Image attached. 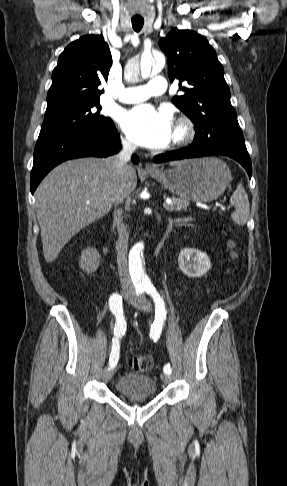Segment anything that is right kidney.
<instances>
[{
  "mask_svg": "<svg viewBox=\"0 0 287 486\" xmlns=\"http://www.w3.org/2000/svg\"><path fill=\"white\" fill-rule=\"evenodd\" d=\"M100 264V255L94 248H86L82 251L79 266L86 273H93Z\"/></svg>",
  "mask_w": 287,
  "mask_h": 486,
  "instance_id": "obj_1",
  "label": "right kidney"
}]
</instances>
